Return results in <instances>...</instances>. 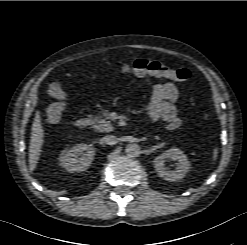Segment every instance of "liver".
Listing matches in <instances>:
<instances>
[{
    "label": "liver",
    "instance_id": "1",
    "mask_svg": "<svg viewBox=\"0 0 247 245\" xmlns=\"http://www.w3.org/2000/svg\"><path fill=\"white\" fill-rule=\"evenodd\" d=\"M44 142V130L42 128L39 113L36 114L31 128V139L29 144V168L33 171L38 164Z\"/></svg>",
    "mask_w": 247,
    "mask_h": 245
}]
</instances>
